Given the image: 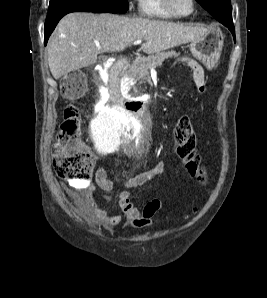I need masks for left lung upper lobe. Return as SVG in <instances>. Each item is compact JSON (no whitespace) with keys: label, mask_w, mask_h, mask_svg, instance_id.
Masks as SVG:
<instances>
[{"label":"left lung upper lobe","mask_w":267,"mask_h":298,"mask_svg":"<svg viewBox=\"0 0 267 298\" xmlns=\"http://www.w3.org/2000/svg\"><path fill=\"white\" fill-rule=\"evenodd\" d=\"M218 21H226L232 17L230 0H196Z\"/></svg>","instance_id":"left-lung-upper-lobe-1"}]
</instances>
